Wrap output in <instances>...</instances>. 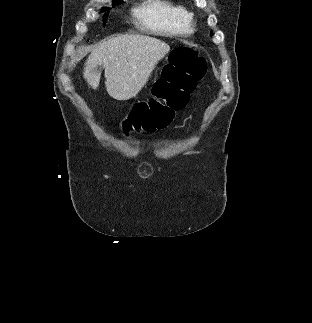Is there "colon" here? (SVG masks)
I'll use <instances>...</instances> for the list:
<instances>
[{
    "label": "colon",
    "mask_w": 312,
    "mask_h": 323,
    "mask_svg": "<svg viewBox=\"0 0 312 323\" xmlns=\"http://www.w3.org/2000/svg\"><path fill=\"white\" fill-rule=\"evenodd\" d=\"M206 72L204 59L191 47L172 51L164 68V77L156 80L157 97L135 103L123 121L125 130L134 132L161 131L174 120L172 112L181 109L194 90L195 81Z\"/></svg>",
    "instance_id": "obj_1"
}]
</instances>
